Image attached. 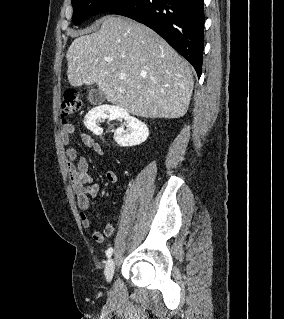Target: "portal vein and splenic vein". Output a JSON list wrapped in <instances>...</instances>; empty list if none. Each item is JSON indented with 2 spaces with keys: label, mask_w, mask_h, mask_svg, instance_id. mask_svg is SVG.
<instances>
[{
  "label": "portal vein and splenic vein",
  "mask_w": 284,
  "mask_h": 319,
  "mask_svg": "<svg viewBox=\"0 0 284 319\" xmlns=\"http://www.w3.org/2000/svg\"><path fill=\"white\" fill-rule=\"evenodd\" d=\"M119 78H120L121 80L125 79V74H121V75L119 76Z\"/></svg>",
  "instance_id": "obj_1"
}]
</instances>
